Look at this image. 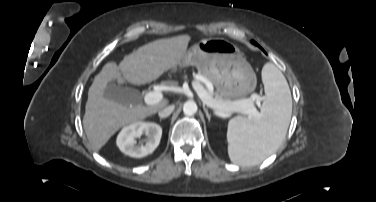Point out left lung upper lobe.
Wrapping results in <instances>:
<instances>
[{
    "label": "left lung upper lobe",
    "mask_w": 376,
    "mask_h": 202,
    "mask_svg": "<svg viewBox=\"0 0 376 202\" xmlns=\"http://www.w3.org/2000/svg\"><path fill=\"white\" fill-rule=\"evenodd\" d=\"M254 44L258 46V44H257V43H255V42H254Z\"/></svg>",
    "instance_id": "left-lung-upper-lobe-1"
}]
</instances>
